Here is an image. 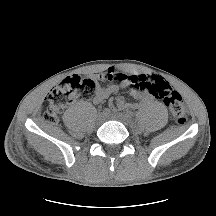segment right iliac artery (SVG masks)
<instances>
[{"label": "right iliac artery", "instance_id": "1", "mask_svg": "<svg viewBox=\"0 0 216 216\" xmlns=\"http://www.w3.org/2000/svg\"><path fill=\"white\" fill-rule=\"evenodd\" d=\"M110 112H111L110 109L105 108L102 113L108 115V114H110Z\"/></svg>", "mask_w": 216, "mask_h": 216}]
</instances>
